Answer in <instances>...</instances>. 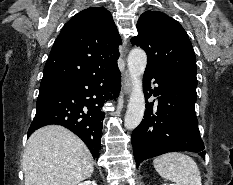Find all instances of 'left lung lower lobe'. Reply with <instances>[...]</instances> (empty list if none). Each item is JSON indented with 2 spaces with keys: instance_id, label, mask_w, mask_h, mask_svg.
I'll return each mask as SVG.
<instances>
[{
  "instance_id": "left-lung-lower-lobe-1",
  "label": "left lung lower lobe",
  "mask_w": 233,
  "mask_h": 185,
  "mask_svg": "<svg viewBox=\"0 0 233 185\" xmlns=\"http://www.w3.org/2000/svg\"><path fill=\"white\" fill-rule=\"evenodd\" d=\"M152 78L158 84L154 95L160 96L157 109H153V103H147L144 119L132 133L136 167L143 160L173 151L196 152L205 159L194 106L197 80L158 75L146 69L143 82L146 100Z\"/></svg>"
}]
</instances>
